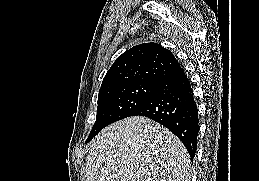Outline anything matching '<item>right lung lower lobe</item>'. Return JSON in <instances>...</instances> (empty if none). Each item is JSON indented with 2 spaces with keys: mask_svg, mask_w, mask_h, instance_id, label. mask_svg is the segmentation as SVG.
I'll return each mask as SVG.
<instances>
[{
  "mask_svg": "<svg viewBox=\"0 0 259 181\" xmlns=\"http://www.w3.org/2000/svg\"><path fill=\"white\" fill-rule=\"evenodd\" d=\"M132 116H145L164 125L183 142L193 159L199 131L198 109L182 68L165 76Z\"/></svg>",
  "mask_w": 259,
  "mask_h": 181,
  "instance_id": "98d812e1",
  "label": "right lung lower lobe"
}]
</instances>
